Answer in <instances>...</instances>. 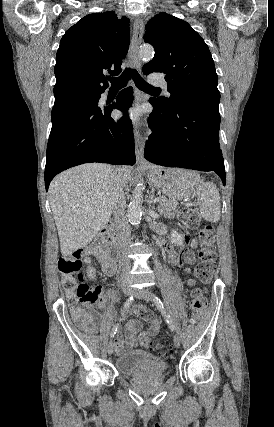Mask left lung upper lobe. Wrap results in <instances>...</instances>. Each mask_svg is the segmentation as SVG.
<instances>
[{"mask_svg":"<svg viewBox=\"0 0 274 427\" xmlns=\"http://www.w3.org/2000/svg\"><path fill=\"white\" fill-rule=\"evenodd\" d=\"M145 42L155 49L154 58L143 73L166 74L169 98H157L164 105L196 101L219 105L217 74L208 46L191 26L161 12L146 25Z\"/></svg>","mask_w":274,"mask_h":427,"instance_id":"left-lung-upper-lobe-1","label":"left lung upper lobe"}]
</instances>
